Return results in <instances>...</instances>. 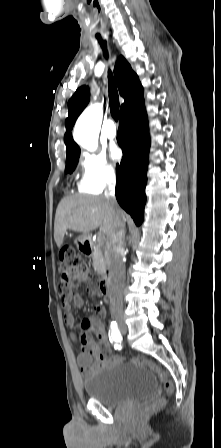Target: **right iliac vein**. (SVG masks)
I'll use <instances>...</instances> for the list:
<instances>
[{"instance_id":"obj_1","label":"right iliac vein","mask_w":221,"mask_h":448,"mask_svg":"<svg viewBox=\"0 0 221 448\" xmlns=\"http://www.w3.org/2000/svg\"><path fill=\"white\" fill-rule=\"evenodd\" d=\"M118 323H119L120 330L125 333L127 330L126 327L124 325H122L121 322H119V320H118Z\"/></svg>"}]
</instances>
